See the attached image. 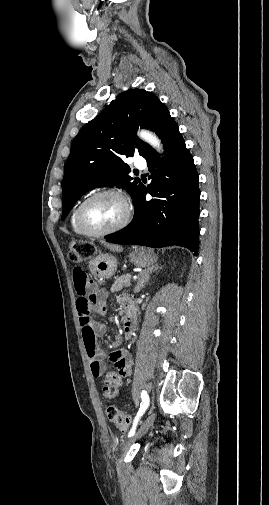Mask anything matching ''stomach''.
I'll use <instances>...</instances> for the list:
<instances>
[{"label": "stomach", "instance_id": "stomach-1", "mask_svg": "<svg viewBox=\"0 0 269 505\" xmlns=\"http://www.w3.org/2000/svg\"><path fill=\"white\" fill-rule=\"evenodd\" d=\"M130 261L137 267H149L157 261L153 252L137 248L129 254ZM91 274L98 279L111 278L117 270V260L110 254H101L89 262Z\"/></svg>", "mask_w": 269, "mask_h": 505}]
</instances>
